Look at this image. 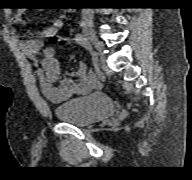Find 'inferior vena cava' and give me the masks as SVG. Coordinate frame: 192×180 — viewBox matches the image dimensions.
<instances>
[{
  "label": "inferior vena cava",
  "mask_w": 192,
  "mask_h": 180,
  "mask_svg": "<svg viewBox=\"0 0 192 180\" xmlns=\"http://www.w3.org/2000/svg\"><path fill=\"white\" fill-rule=\"evenodd\" d=\"M82 17L85 19H92V11L91 8H83Z\"/></svg>",
  "instance_id": "602c4592"
}]
</instances>
